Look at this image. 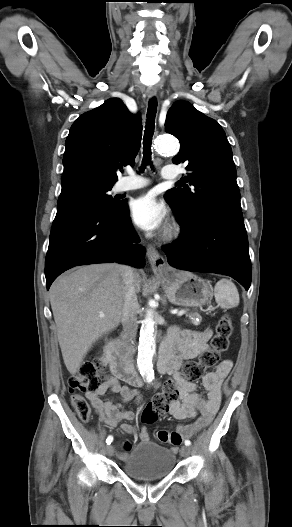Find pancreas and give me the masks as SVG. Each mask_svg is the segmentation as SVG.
<instances>
[{"instance_id": "1", "label": "pancreas", "mask_w": 292, "mask_h": 527, "mask_svg": "<svg viewBox=\"0 0 292 527\" xmlns=\"http://www.w3.org/2000/svg\"><path fill=\"white\" fill-rule=\"evenodd\" d=\"M186 316L189 317L190 322L194 325H199L202 320L201 316L197 312L188 313Z\"/></svg>"}]
</instances>
